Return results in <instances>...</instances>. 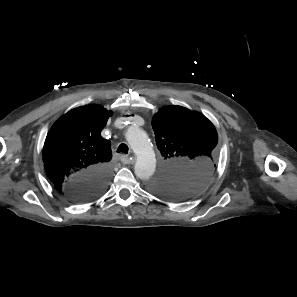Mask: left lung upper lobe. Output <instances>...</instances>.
<instances>
[{
    "instance_id": "obj_1",
    "label": "left lung upper lobe",
    "mask_w": 297,
    "mask_h": 297,
    "mask_svg": "<svg viewBox=\"0 0 297 297\" xmlns=\"http://www.w3.org/2000/svg\"><path fill=\"white\" fill-rule=\"evenodd\" d=\"M152 128L163 165L150 190L173 201L190 198L214 171L218 135L213 124L198 112L170 106L154 115Z\"/></svg>"
}]
</instances>
